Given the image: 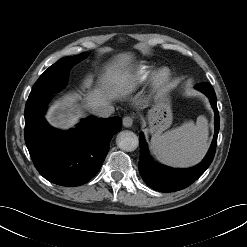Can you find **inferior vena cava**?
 <instances>
[{
	"instance_id": "1",
	"label": "inferior vena cava",
	"mask_w": 247,
	"mask_h": 247,
	"mask_svg": "<svg viewBox=\"0 0 247 247\" xmlns=\"http://www.w3.org/2000/svg\"><path fill=\"white\" fill-rule=\"evenodd\" d=\"M114 112V107L107 105V106H102V107H98L93 111V114L98 116V117H103V118H107L109 116H111V114Z\"/></svg>"
}]
</instances>
